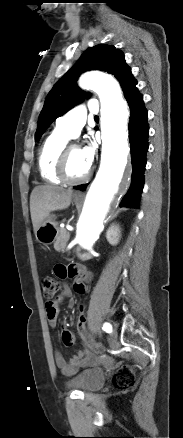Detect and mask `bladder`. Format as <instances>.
<instances>
[{"instance_id":"bladder-1","label":"bladder","mask_w":183,"mask_h":438,"mask_svg":"<svg viewBox=\"0 0 183 438\" xmlns=\"http://www.w3.org/2000/svg\"><path fill=\"white\" fill-rule=\"evenodd\" d=\"M70 385L83 392L100 389L105 383V375L97 369H87L71 379Z\"/></svg>"}]
</instances>
